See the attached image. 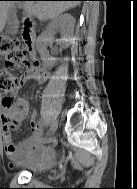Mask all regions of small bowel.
Instances as JSON below:
<instances>
[{"label": "small bowel", "mask_w": 137, "mask_h": 189, "mask_svg": "<svg viewBox=\"0 0 137 189\" xmlns=\"http://www.w3.org/2000/svg\"><path fill=\"white\" fill-rule=\"evenodd\" d=\"M49 77L48 71L35 62L21 78V83L30 79L38 83H44ZM10 105L0 103L1 131L5 142V153L10 162L16 166H24L31 163H44L52 155L50 146L41 145L38 140L43 132L42 125L37 121L35 112L31 114V135L18 144L11 140V130H16L29 115L28 102L19 95L16 90L11 97Z\"/></svg>", "instance_id": "obj_1"}]
</instances>
